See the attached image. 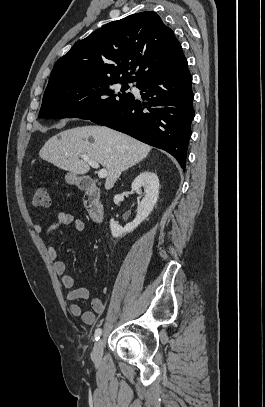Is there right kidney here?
<instances>
[{
  "mask_svg": "<svg viewBox=\"0 0 265 407\" xmlns=\"http://www.w3.org/2000/svg\"><path fill=\"white\" fill-rule=\"evenodd\" d=\"M132 190L141 194V187H144L145 195L138 206L136 218L128 223L124 228L121 227L114 219L110 220V229L112 236L121 237L132 232L138 227L152 212L159 195V179L155 173L144 171L140 173L132 182Z\"/></svg>",
  "mask_w": 265,
  "mask_h": 407,
  "instance_id": "ca27d5eb",
  "label": "right kidney"
}]
</instances>
